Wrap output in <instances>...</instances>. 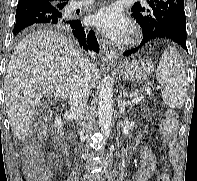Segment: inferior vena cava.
<instances>
[{
    "label": "inferior vena cava",
    "mask_w": 197,
    "mask_h": 181,
    "mask_svg": "<svg viewBox=\"0 0 197 181\" xmlns=\"http://www.w3.org/2000/svg\"><path fill=\"white\" fill-rule=\"evenodd\" d=\"M95 58L94 53H90ZM95 69V64L87 59H82L79 69L74 76L73 83L70 88V115L75 120H81L86 108V103L91 91V76Z\"/></svg>",
    "instance_id": "obj_1"
}]
</instances>
